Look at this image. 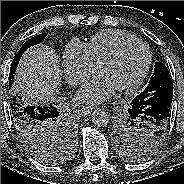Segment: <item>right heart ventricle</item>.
<instances>
[{"instance_id":"obj_1","label":"right heart ventricle","mask_w":184,"mask_h":184,"mask_svg":"<svg viewBox=\"0 0 184 184\" xmlns=\"http://www.w3.org/2000/svg\"><path fill=\"white\" fill-rule=\"evenodd\" d=\"M135 39V36L121 30H105L94 35L87 48L92 59L99 65L118 46Z\"/></svg>"}]
</instances>
